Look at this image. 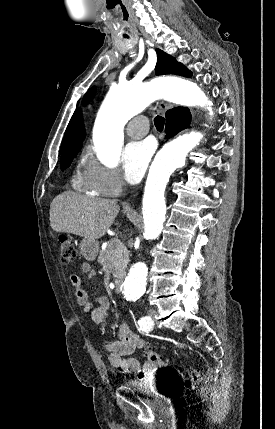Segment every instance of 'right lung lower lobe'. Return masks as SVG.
Listing matches in <instances>:
<instances>
[{"instance_id":"98d812e1","label":"right lung lower lobe","mask_w":275,"mask_h":429,"mask_svg":"<svg viewBox=\"0 0 275 429\" xmlns=\"http://www.w3.org/2000/svg\"><path fill=\"white\" fill-rule=\"evenodd\" d=\"M191 114L187 108H174L166 113V137H171L187 128Z\"/></svg>"}]
</instances>
